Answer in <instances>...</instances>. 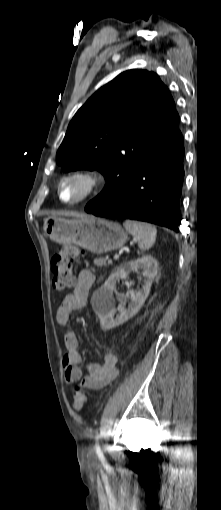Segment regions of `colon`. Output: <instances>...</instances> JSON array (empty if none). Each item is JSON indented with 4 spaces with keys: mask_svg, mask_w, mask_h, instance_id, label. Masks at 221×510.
Returning <instances> with one entry per match:
<instances>
[{
    "mask_svg": "<svg viewBox=\"0 0 221 510\" xmlns=\"http://www.w3.org/2000/svg\"><path fill=\"white\" fill-rule=\"evenodd\" d=\"M82 252L72 245L63 246L52 258L53 286L57 290H66L73 285V266ZM87 402V393L79 385L74 388V408L81 410Z\"/></svg>",
    "mask_w": 221,
    "mask_h": 510,
    "instance_id": "5ec220e1",
    "label": "colon"
}]
</instances>
